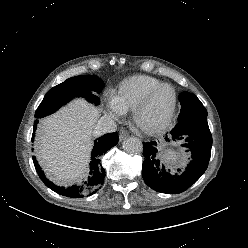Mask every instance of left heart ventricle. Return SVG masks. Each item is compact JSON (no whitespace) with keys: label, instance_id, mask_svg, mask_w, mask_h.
<instances>
[{"label":"left heart ventricle","instance_id":"obj_1","mask_svg":"<svg viewBox=\"0 0 248 248\" xmlns=\"http://www.w3.org/2000/svg\"><path fill=\"white\" fill-rule=\"evenodd\" d=\"M173 102L172 91L169 88L157 92L140 116V123L147 127L162 124L171 109Z\"/></svg>","mask_w":248,"mask_h":248}]
</instances>
